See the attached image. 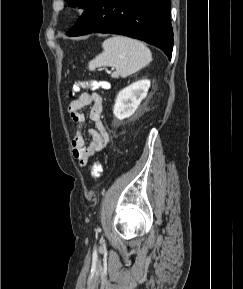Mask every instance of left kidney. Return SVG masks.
Listing matches in <instances>:
<instances>
[{
    "mask_svg": "<svg viewBox=\"0 0 243 289\" xmlns=\"http://www.w3.org/2000/svg\"><path fill=\"white\" fill-rule=\"evenodd\" d=\"M149 80H140L121 90L115 100L113 114L119 120L134 114L141 101L147 96Z\"/></svg>",
    "mask_w": 243,
    "mask_h": 289,
    "instance_id": "left-kidney-1",
    "label": "left kidney"
}]
</instances>
